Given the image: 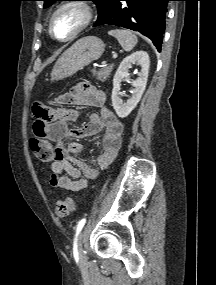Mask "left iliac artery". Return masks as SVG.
<instances>
[{
  "mask_svg": "<svg viewBox=\"0 0 216 285\" xmlns=\"http://www.w3.org/2000/svg\"><path fill=\"white\" fill-rule=\"evenodd\" d=\"M86 222V219L83 218L79 221L78 225H77V230H76V235H75V238H74V248L76 249L77 248V237L80 233V231L82 230L84 224Z\"/></svg>",
  "mask_w": 216,
  "mask_h": 285,
  "instance_id": "left-iliac-artery-1",
  "label": "left iliac artery"
}]
</instances>
